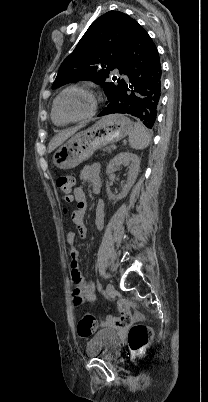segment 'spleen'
Masks as SVG:
<instances>
[{
	"label": "spleen",
	"instance_id": "spleen-1",
	"mask_svg": "<svg viewBox=\"0 0 208 402\" xmlns=\"http://www.w3.org/2000/svg\"><path fill=\"white\" fill-rule=\"evenodd\" d=\"M129 142L131 148H135V150H144V148L149 146L150 136L141 122L134 124L133 130L129 134Z\"/></svg>",
	"mask_w": 208,
	"mask_h": 402
}]
</instances>
